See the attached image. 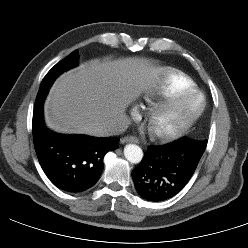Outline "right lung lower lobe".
<instances>
[{
	"label": "right lung lower lobe",
	"mask_w": 248,
	"mask_h": 248,
	"mask_svg": "<svg viewBox=\"0 0 248 248\" xmlns=\"http://www.w3.org/2000/svg\"><path fill=\"white\" fill-rule=\"evenodd\" d=\"M50 88V87H49ZM49 88L39 89L33 111V140L39 163L59 189L82 192L98 181L103 158L118 147L116 137L60 135L48 130L43 120V102Z\"/></svg>",
	"instance_id": "right-lung-lower-lobe-1"
}]
</instances>
